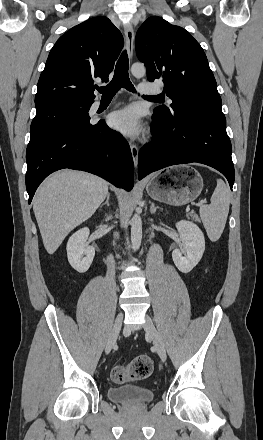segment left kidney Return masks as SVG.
I'll return each instance as SVG.
<instances>
[{
	"mask_svg": "<svg viewBox=\"0 0 263 440\" xmlns=\"http://www.w3.org/2000/svg\"><path fill=\"white\" fill-rule=\"evenodd\" d=\"M183 249H175L172 258L182 273H189L201 260L205 250V239L201 229L193 222L182 220L176 223ZM184 254V256H183Z\"/></svg>",
	"mask_w": 263,
	"mask_h": 440,
	"instance_id": "obj_1",
	"label": "left kidney"
}]
</instances>
